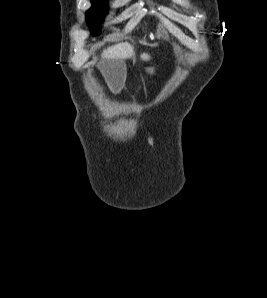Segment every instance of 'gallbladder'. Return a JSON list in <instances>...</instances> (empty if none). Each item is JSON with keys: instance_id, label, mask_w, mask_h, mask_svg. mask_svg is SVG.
Instances as JSON below:
<instances>
[{"instance_id": "gallbladder-1", "label": "gallbladder", "mask_w": 267, "mask_h": 298, "mask_svg": "<svg viewBox=\"0 0 267 298\" xmlns=\"http://www.w3.org/2000/svg\"><path fill=\"white\" fill-rule=\"evenodd\" d=\"M118 65H123V63H121L119 61L114 62V61L102 60L99 63V68L104 72H111V73H117V74L123 73L124 69L114 68V66H118Z\"/></svg>"}]
</instances>
